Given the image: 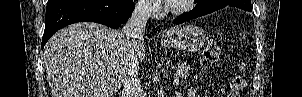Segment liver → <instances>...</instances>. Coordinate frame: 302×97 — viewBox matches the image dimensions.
I'll return each instance as SVG.
<instances>
[{
	"instance_id": "6515ba94",
	"label": "liver",
	"mask_w": 302,
	"mask_h": 97,
	"mask_svg": "<svg viewBox=\"0 0 302 97\" xmlns=\"http://www.w3.org/2000/svg\"><path fill=\"white\" fill-rule=\"evenodd\" d=\"M178 31L173 27L166 36ZM145 53L142 39L136 49L138 62ZM129 54L119 30L88 22L61 29L43 52L52 97H112L123 83Z\"/></svg>"
}]
</instances>
